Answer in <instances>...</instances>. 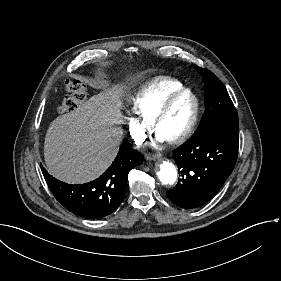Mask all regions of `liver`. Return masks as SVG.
I'll use <instances>...</instances> for the list:
<instances>
[{"mask_svg": "<svg viewBox=\"0 0 281 281\" xmlns=\"http://www.w3.org/2000/svg\"><path fill=\"white\" fill-rule=\"evenodd\" d=\"M129 88L127 83L113 84L49 124L43 154L53 176L84 183L113 163L124 138V128L118 124Z\"/></svg>", "mask_w": 281, "mask_h": 281, "instance_id": "liver-1", "label": "liver"}]
</instances>
